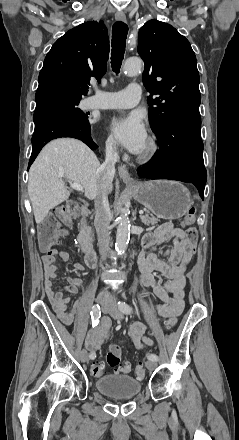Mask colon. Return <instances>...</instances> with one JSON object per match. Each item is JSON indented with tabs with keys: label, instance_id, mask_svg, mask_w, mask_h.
<instances>
[{
	"label": "colon",
	"instance_id": "5ec220e1",
	"mask_svg": "<svg viewBox=\"0 0 239 440\" xmlns=\"http://www.w3.org/2000/svg\"><path fill=\"white\" fill-rule=\"evenodd\" d=\"M78 206L75 202L69 201L66 204L57 207L50 215L43 221L39 231V241L41 248L44 250L50 249L57 240L62 236V229L59 221L68 223L77 216ZM195 222V210L189 209L183 218V225L186 227V236L188 241L195 245L198 237L197 230L193 227ZM176 325V318L171 317L166 322V329L171 330ZM122 349L120 344L116 343L110 346L106 356V361L110 368L116 369L121 373H128L131 368L128 365L120 366ZM90 373L93 376L100 377L106 374L103 365L99 362H93L90 365ZM135 373L138 379H142L145 375L143 364L140 362L136 366Z\"/></svg>",
	"mask_w": 239,
	"mask_h": 440
}]
</instances>
